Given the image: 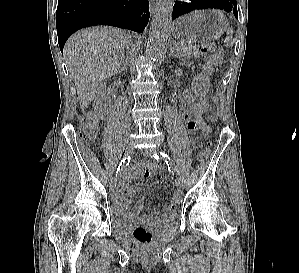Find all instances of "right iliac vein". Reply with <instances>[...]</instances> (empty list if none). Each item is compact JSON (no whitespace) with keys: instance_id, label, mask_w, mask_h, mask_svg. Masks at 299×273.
<instances>
[{"instance_id":"63e3f726","label":"right iliac vein","mask_w":299,"mask_h":273,"mask_svg":"<svg viewBox=\"0 0 299 273\" xmlns=\"http://www.w3.org/2000/svg\"><path fill=\"white\" fill-rule=\"evenodd\" d=\"M134 153V146L132 143L128 144L124 149V156H130ZM117 186V179L113 176L110 180V189L114 190Z\"/></svg>"}]
</instances>
